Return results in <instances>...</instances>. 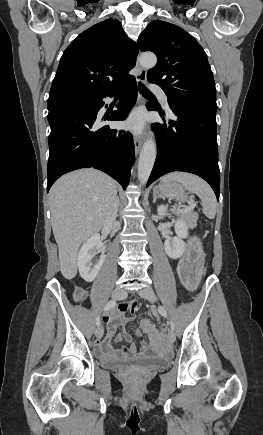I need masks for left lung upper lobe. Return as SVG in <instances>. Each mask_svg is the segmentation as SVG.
Segmentation results:
<instances>
[{
  "label": "left lung upper lobe",
  "mask_w": 263,
  "mask_h": 435,
  "mask_svg": "<svg viewBox=\"0 0 263 435\" xmlns=\"http://www.w3.org/2000/svg\"><path fill=\"white\" fill-rule=\"evenodd\" d=\"M138 46L157 55L147 79L164 90L169 106L217 111L213 73L194 37L174 24L155 20L140 34Z\"/></svg>",
  "instance_id": "5c2ea615"
}]
</instances>
